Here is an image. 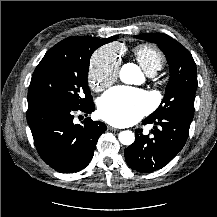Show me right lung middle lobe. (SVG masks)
<instances>
[{"label": "right lung middle lobe", "mask_w": 217, "mask_h": 217, "mask_svg": "<svg viewBox=\"0 0 217 217\" xmlns=\"http://www.w3.org/2000/svg\"><path fill=\"white\" fill-rule=\"evenodd\" d=\"M101 46L98 38L83 36L61 41L36 67L28 91V109L58 105L81 108L92 102L87 83L89 60Z\"/></svg>", "instance_id": "dd1d6c3e"}]
</instances>
